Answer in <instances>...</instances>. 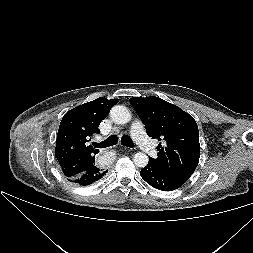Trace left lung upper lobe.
<instances>
[{
    "mask_svg": "<svg viewBox=\"0 0 253 253\" xmlns=\"http://www.w3.org/2000/svg\"><path fill=\"white\" fill-rule=\"evenodd\" d=\"M130 102L158 145V157L149 161L166 173L186 182L195 171L200 157L198 126L194 118L158 97H132Z\"/></svg>",
    "mask_w": 253,
    "mask_h": 253,
    "instance_id": "5c2ea615",
    "label": "left lung upper lobe"
}]
</instances>
